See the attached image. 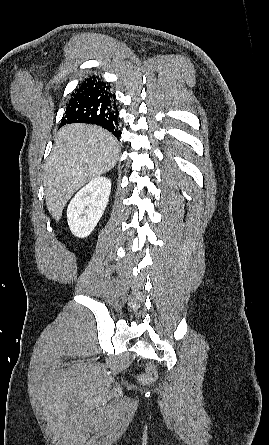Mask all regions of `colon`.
Listing matches in <instances>:
<instances>
[{"label": "colon", "instance_id": "colon-1", "mask_svg": "<svg viewBox=\"0 0 269 445\" xmlns=\"http://www.w3.org/2000/svg\"><path fill=\"white\" fill-rule=\"evenodd\" d=\"M156 377V372L153 369V367L148 366L146 369V372L141 376V380L143 382H151L155 379Z\"/></svg>", "mask_w": 269, "mask_h": 445}]
</instances>
